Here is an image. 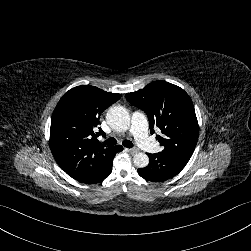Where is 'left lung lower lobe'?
<instances>
[{"mask_svg":"<svg viewBox=\"0 0 251 251\" xmlns=\"http://www.w3.org/2000/svg\"><path fill=\"white\" fill-rule=\"evenodd\" d=\"M149 164L145 168L138 169V174L144 179L152 182H163L177 175L188 161L159 152L150 154Z\"/></svg>","mask_w":251,"mask_h":251,"instance_id":"left-lung-lower-lobe-1","label":"left lung lower lobe"}]
</instances>
